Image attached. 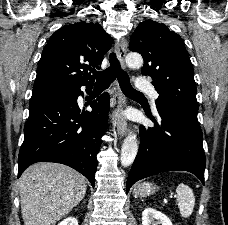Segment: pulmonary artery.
<instances>
[{
    "label": "pulmonary artery",
    "instance_id": "1",
    "mask_svg": "<svg viewBox=\"0 0 228 225\" xmlns=\"http://www.w3.org/2000/svg\"><path fill=\"white\" fill-rule=\"evenodd\" d=\"M138 78L140 80H143L145 77L143 75H140ZM148 84V81H136L135 90H145L146 93H148V95L150 96L153 109L156 111V100L158 98V93L152 87V85Z\"/></svg>",
    "mask_w": 228,
    "mask_h": 225
}]
</instances>
